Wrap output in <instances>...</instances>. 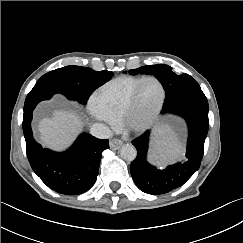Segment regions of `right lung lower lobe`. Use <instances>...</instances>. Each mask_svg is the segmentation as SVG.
<instances>
[{"label": "right lung lower lobe", "mask_w": 243, "mask_h": 243, "mask_svg": "<svg viewBox=\"0 0 243 243\" xmlns=\"http://www.w3.org/2000/svg\"><path fill=\"white\" fill-rule=\"evenodd\" d=\"M55 92L31 90L24 104L23 132L28 160L33 171L52 190L76 195L89 190L96 181L102 152L109 148L108 140L82 133L67 151L62 153L44 149L32 135V112L43 100Z\"/></svg>", "instance_id": "right-lung-lower-lobe-1"}]
</instances>
